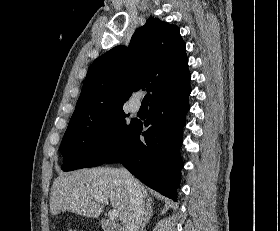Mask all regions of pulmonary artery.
Instances as JSON below:
<instances>
[{
	"mask_svg": "<svg viewBox=\"0 0 280 231\" xmlns=\"http://www.w3.org/2000/svg\"><path fill=\"white\" fill-rule=\"evenodd\" d=\"M130 107H131V111L136 113L140 109V104L139 103H135V102H131Z\"/></svg>",
	"mask_w": 280,
	"mask_h": 231,
	"instance_id": "e3ab8cb5",
	"label": "pulmonary artery"
}]
</instances>
